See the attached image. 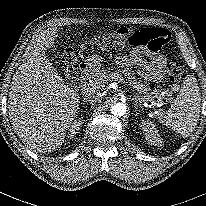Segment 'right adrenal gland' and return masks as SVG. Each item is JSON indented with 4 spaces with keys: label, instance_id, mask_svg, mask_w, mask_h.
Wrapping results in <instances>:
<instances>
[{
    "label": "right adrenal gland",
    "instance_id": "obj_1",
    "mask_svg": "<svg viewBox=\"0 0 206 206\" xmlns=\"http://www.w3.org/2000/svg\"><path fill=\"white\" fill-rule=\"evenodd\" d=\"M85 102H86V103H90V104L92 105V107H93V105H94L93 102H90L88 99H85V98H84L83 101H82V103L85 104Z\"/></svg>",
    "mask_w": 206,
    "mask_h": 206
}]
</instances>
